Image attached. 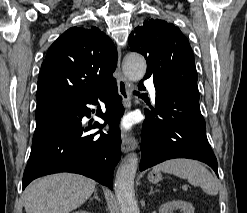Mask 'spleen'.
<instances>
[{"label":"spleen","mask_w":247,"mask_h":213,"mask_svg":"<svg viewBox=\"0 0 247 213\" xmlns=\"http://www.w3.org/2000/svg\"><path fill=\"white\" fill-rule=\"evenodd\" d=\"M174 174L194 186H200L208 195H216L219 191L218 180L199 162L190 159L178 158L165 161L153 167V172Z\"/></svg>","instance_id":"1"}]
</instances>
